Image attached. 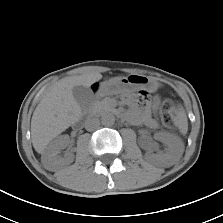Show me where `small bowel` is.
I'll return each instance as SVG.
<instances>
[{"label":"small bowel","mask_w":223,"mask_h":223,"mask_svg":"<svg viewBox=\"0 0 223 223\" xmlns=\"http://www.w3.org/2000/svg\"><path fill=\"white\" fill-rule=\"evenodd\" d=\"M141 105L146 107L147 115H146V123L148 126L154 128L157 125L156 116L158 114L161 101L157 95L153 96H145L140 99ZM135 119V117H133Z\"/></svg>","instance_id":"1"}]
</instances>
